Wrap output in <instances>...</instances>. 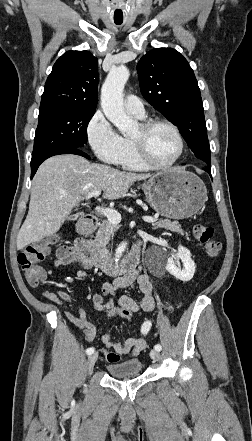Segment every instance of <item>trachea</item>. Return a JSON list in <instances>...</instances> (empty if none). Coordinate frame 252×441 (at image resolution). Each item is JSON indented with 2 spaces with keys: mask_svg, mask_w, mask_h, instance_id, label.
<instances>
[{
  "mask_svg": "<svg viewBox=\"0 0 252 441\" xmlns=\"http://www.w3.org/2000/svg\"><path fill=\"white\" fill-rule=\"evenodd\" d=\"M115 23H116V24H121V23H122V21H115Z\"/></svg>",
  "mask_w": 252,
  "mask_h": 441,
  "instance_id": "obj_1",
  "label": "trachea"
}]
</instances>
